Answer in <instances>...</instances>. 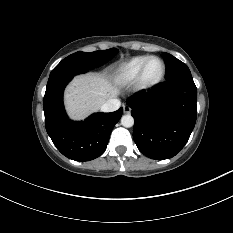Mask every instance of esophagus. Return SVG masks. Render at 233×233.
<instances>
[{
    "label": "esophagus",
    "instance_id": "1",
    "mask_svg": "<svg viewBox=\"0 0 233 233\" xmlns=\"http://www.w3.org/2000/svg\"><path fill=\"white\" fill-rule=\"evenodd\" d=\"M123 111L125 114H129L131 112V108L128 105H123Z\"/></svg>",
    "mask_w": 233,
    "mask_h": 233
}]
</instances>
